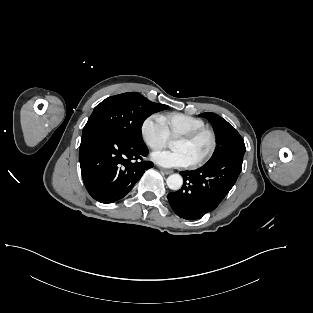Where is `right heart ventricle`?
Segmentation results:
<instances>
[{
  "label": "right heart ventricle",
  "instance_id": "1",
  "mask_svg": "<svg viewBox=\"0 0 313 313\" xmlns=\"http://www.w3.org/2000/svg\"><path fill=\"white\" fill-rule=\"evenodd\" d=\"M161 119L170 137H178L206 126L201 118L183 113H167Z\"/></svg>",
  "mask_w": 313,
  "mask_h": 313
}]
</instances>
